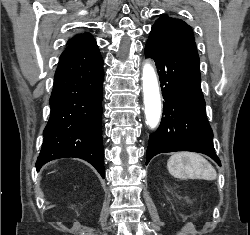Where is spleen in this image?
Instances as JSON below:
<instances>
[{
	"label": "spleen",
	"instance_id": "obj_1",
	"mask_svg": "<svg viewBox=\"0 0 250 235\" xmlns=\"http://www.w3.org/2000/svg\"><path fill=\"white\" fill-rule=\"evenodd\" d=\"M167 168L172 176L179 179L215 180L217 178L214 167L197 153H176L169 158Z\"/></svg>",
	"mask_w": 250,
	"mask_h": 235
}]
</instances>
